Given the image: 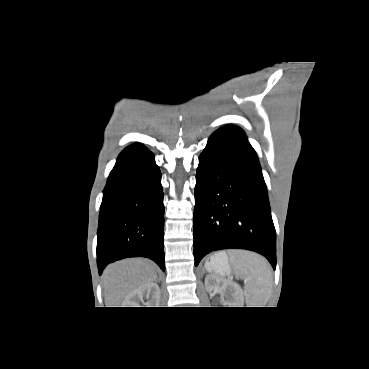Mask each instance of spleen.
<instances>
[{"instance_id":"obj_1","label":"spleen","mask_w":369,"mask_h":369,"mask_svg":"<svg viewBox=\"0 0 369 369\" xmlns=\"http://www.w3.org/2000/svg\"><path fill=\"white\" fill-rule=\"evenodd\" d=\"M235 272L245 280L248 307H264L272 286V271L267 260L258 254L234 250L229 252Z\"/></svg>"}]
</instances>
